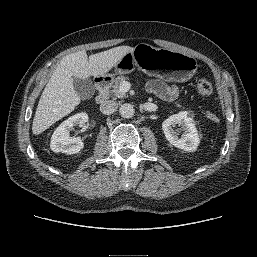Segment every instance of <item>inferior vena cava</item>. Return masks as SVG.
Returning a JSON list of instances; mask_svg holds the SVG:
<instances>
[{
    "mask_svg": "<svg viewBox=\"0 0 257 257\" xmlns=\"http://www.w3.org/2000/svg\"><path fill=\"white\" fill-rule=\"evenodd\" d=\"M118 108V103L113 100H107L100 105V111L105 115L113 114Z\"/></svg>",
    "mask_w": 257,
    "mask_h": 257,
    "instance_id": "1",
    "label": "inferior vena cava"
}]
</instances>
